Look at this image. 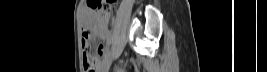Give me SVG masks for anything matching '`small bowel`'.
I'll return each mask as SVG.
<instances>
[{
	"label": "small bowel",
	"instance_id": "obj_1",
	"mask_svg": "<svg viewBox=\"0 0 267 72\" xmlns=\"http://www.w3.org/2000/svg\"><path fill=\"white\" fill-rule=\"evenodd\" d=\"M95 32L97 33L98 36H100L103 39L109 38L110 32L106 22H100L96 27ZM89 43H90L89 34L86 31H84L82 36V47H84ZM105 56H106V47L105 45H101L98 50L97 65H96L97 69L95 67L93 72H102V67L104 65V61H102V58ZM84 62L85 59L83 58V63Z\"/></svg>",
	"mask_w": 267,
	"mask_h": 72
}]
</instances>
